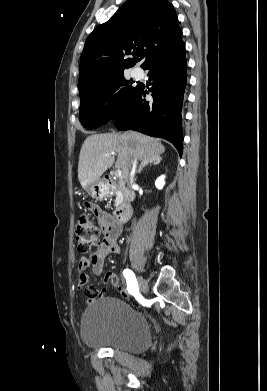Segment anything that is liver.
<instances>
[{
	"mask_svg": "<svg viewBox=\"0 0 267 391\" xmlns=\"http://www.w3.org/2000/svg\"><path fill=\"white\" fill-rule=\"evenodd\" d=\"M165 147L158 139L134 131L118 134H94L84 141L78 163V179L85 189L88 185L100 180L103 173L115 161V167L122 171L123 178L129 176L130 164L133 158L143 161H153L160 158Z\"/></svg>",
	"mask_w": 267,
	"mask_h": 391,
	"instance_id": "liver-1",
	"label": "liver"
}]
</instances>
